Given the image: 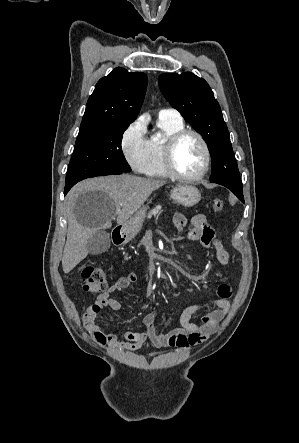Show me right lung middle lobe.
Returning a JSON list of instances; mask_svg holds the SVG:
<instances>
[{
    "label": "right lung middle lobe",
    "instance_id": "right-lung-middle-lobe-1",
    "mask_svg": "<svg viewBox=\"0 0 299 443\" xmlns=\"http://www.w3.org/2000/svg\"><path fill=\"white\" fill-rule=\"evenodd\" d=\"M130 123H112L79 132L69 163L65 186L109 172L131 171L121 139Z\"/></svg>",
    "mask_w": 299,
    "mask_h": 443
}]
</instances>
